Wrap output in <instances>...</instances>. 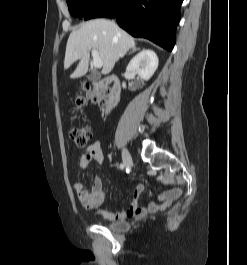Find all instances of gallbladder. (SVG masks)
Returning a JSON list of instances; mask_svg holds the SVG:
<instances>
[{"label":"gallbladder","mask_w":247,"mask_h":265,"mask_svg":"<svg viewBox=\"0 0 247 265\" xmlns=\"http://www.w3.org/2000/svg\"><path fill=\"white\" fill-rule=\"evenodd\" d=\"M87 78H88V80H93L94 79V76L93 75H90Z\"/></svg>","instance_id":"obj_1"}]
</instances>
